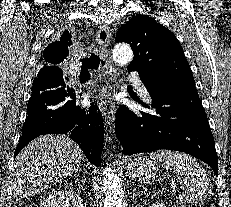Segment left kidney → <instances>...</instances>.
<instances>
[{"mask_svg": "<svg viewBox=\"0 0 231 207\" xmlns=\"http://www.w3.org/2000/svg\"><path fill=\"white\" fill-rule=\"evenodd\" d=\"M150 207H166V206L163 205L162 203L155 202V203H153Z\"/></svg>", "mask_w": 231, "mask_h": 207, "instance_id": "obj_1", "label": "left kidney"}]
</instances>
